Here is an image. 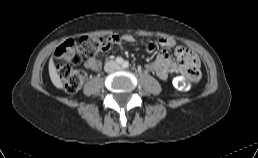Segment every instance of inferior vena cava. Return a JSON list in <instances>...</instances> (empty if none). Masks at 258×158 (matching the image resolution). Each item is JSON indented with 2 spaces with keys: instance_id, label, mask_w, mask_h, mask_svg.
Returning a JSON list of instances; mask_svg holds the SVG:
<instances>
[{
  "instance_id": "inferior-vena-cava-1",
  "label": "inferior vena cava",
  "mask_w": 258,
  "mask_h": 158,
  "mask_svg": "<svg viewBox=\"0 0 258 158\" xmlns=\"http://www.w3.org/2000/svg\"><path fill=\"white\" fill-rule=\"evenodd\" d=\"M118 68H119V65L115 61H109L105 64L106 72H112L114 70H117Z\"/></svg>"
}]
</instances>
